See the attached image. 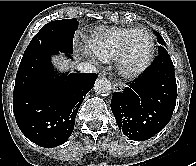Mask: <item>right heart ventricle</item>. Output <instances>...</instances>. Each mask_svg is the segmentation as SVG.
Here are the masks:
<instances>
[{"label":"right heart ventricle","mask_w":196,"mask_h":166,"mask_svg":"<svg viewBox=\"0 0 196 166\" xmlns=\"http://www.w3.org/2000/svg\"><path fill=\"white\" fill-rule=\"evenodd\" d=\"M131 30V28L113 27L98 31L89 42L92 55L103 61L117 59Z\"/></svg>","instance_id":"right-heart-ventricle-1"}]
</instances>
